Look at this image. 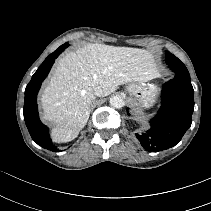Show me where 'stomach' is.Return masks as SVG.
<instances>
[{
    "label": "stomach",
    "mask_w": 211,
    "mask_h": 211,
    "mask_svg": "<svg viewBox=\"0 0 211 211\" xmlns=\"http://www.w3.org/2000/svg\"><path fill=\"white\" fill-rule=\"evenodd\" d=\"M132 103L143 109L152 107L159 95V88L154 84L131 83L126 87Z\"/></svg>",
    "instance_id": "stomach-1"
}]
</instances>
